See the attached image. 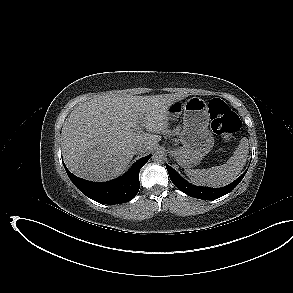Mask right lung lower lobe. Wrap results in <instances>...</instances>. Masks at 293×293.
Returning a JSON list of instances; mask_svg holds the SVG:
<instances>
[{
    "instance_id": "obj_1",
    "label": "right lung lower lobe",
    "mask_w": 293,
    "mask_h": 293,
    "mask_svg": "<svg viewBox=\"0 0 293 293\" xmlns=\"http://www.w3.org/2000/svg\"><path fill=\"white\" fill-rule=\"evenodd\" d=\"M151 155L139 159L123 176L108 182H91L76 177L65 166L74 185L87 197L103 204H120L133 199L139 191V171Z\"/></svg>"
}]
</instances>
